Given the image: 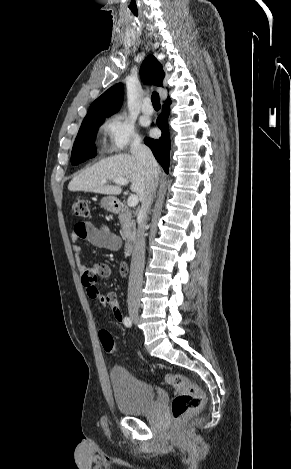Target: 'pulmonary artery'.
Listing matches in <instances>:
<instances>
[{
    "label": "pulmonary artery",
    "instance_id": "obj_1",
    "mask_svg": "<svg viewBox=\"0 0 291 469\" xmlns=\"http://www.w3.org/2000/svg\"><path fill=\"white\" fill-rule=\"evenodd\" d=\"M142 112L146 115H151L153 113V107L151 106L150 98H145L142 105Z\"/></svg>",
    "mask_w": 291,
    "mask_h": 469
}]
</instances>
